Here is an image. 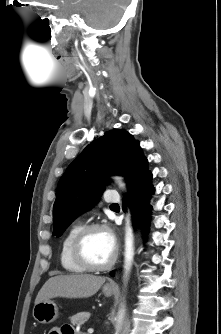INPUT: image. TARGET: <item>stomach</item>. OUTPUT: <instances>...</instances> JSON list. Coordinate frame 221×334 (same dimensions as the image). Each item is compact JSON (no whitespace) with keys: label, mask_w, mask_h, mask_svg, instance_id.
I'll return each mask as SVG.
<instances>
[{"label":"stomach","mask_w":221,"mask_h":334,"mask_svg":"<svg viewBox=\"0 0 221 334\" xmlns=\"http://www.w3.org/2000/svg\"><path fill=\"white\" fill-rule=\"evenodd\" d=\"M102 292L106 297H110L114 294L115 289L105 285L102 289ZM32 314L37 322L42 324H49L58 318V307L51 300L42 301L38 304H35Z\"/></svg>","instance_id":"1"}]
</instances>
